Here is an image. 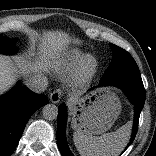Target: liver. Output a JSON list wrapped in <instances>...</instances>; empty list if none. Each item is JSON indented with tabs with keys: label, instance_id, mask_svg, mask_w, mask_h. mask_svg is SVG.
<instances>
[{
	"label": "liver",
	"instance_id": "obj_1",
	"mask_svg": "<svg viewBox=\"0 0 156 156\" xmlns=\"http://www.w3.org/2000/svg\"><path fill=\"white\" fill-rule=\"evenodd\" d=\"M67 42V36L64 33L56 32L51 33L47 36V50L49 53L59 49ZM43 49H46V43ZM35 50V47H34ZM34 52V51H33ZM34 54V53H33ZM32 69L29 68L24 74L30 73ZM14 71L10 64L5 60L4 57H0V92L11 83L13 79Z\"/></svg>",
	"mask_w": 156,
	"mask_h": 156
}]
</instances>
